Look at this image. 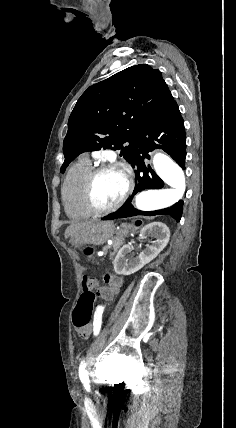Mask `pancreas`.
Wrapping results in <instances>:
<instances>
[{"label": "pancreas", "instance_id": "obj_1", "mask_svg": "<svg viewBox=\"0 0 236 428\" xmlns=\"http://www.w3.org/2000/svg\"><path fill=\"white\" fill-rule=\"evenodd\" d=\"M112 240H113V246H104L103 248L104 256H106L108 250H112V252H110V260H112L113 256H115L119 248L118 242H120L121 238H112Z\"/></svg>", "mask_w": 236, "mask_h": 428}]
</instances>
